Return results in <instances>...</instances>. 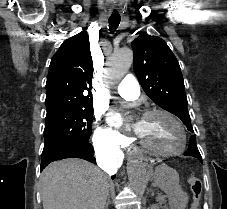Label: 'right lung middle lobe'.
Here are the masks:
<instances>
[{"instance_id":"1","label":"right lung middle lobe","mask_w":227,"mask_h":209,"mask_svg":"<svg viewBox=\"0 0 227 209\" xmlns=\"http://www.w3.org/2000/svg\"><path fill=\"white\" fill-rule=\"evenodd\" d=\"M42 153L68 144L89 142L93 121L92 98H60L48 105Z\"/></svg>"}]
</instances>
